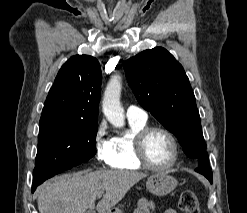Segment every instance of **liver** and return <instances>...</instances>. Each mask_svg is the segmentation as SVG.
Listing matches in <instances>:
<instances>
[{
    "label": "liver",
    "mask_w": 247,
    "mask_h": 213,
    "mask_svg": "<svg viewBox=\"0 0 247 213\" xmlns=\"http://www.w3.org/2000/svg\"><path fill=\"white\" fill-rule=\"evenodd\" d=\"M147 174L123 170H99L66 174L38 190L40 213H86L95 208L99 194H104L96 210L105 213L113 208Z\"/></svg>",
    "instance_id": "obj_1"
}]
</instances>
